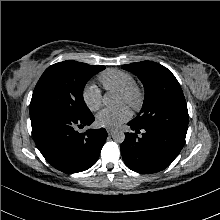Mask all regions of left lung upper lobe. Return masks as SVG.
<instances>
[{
	"mask_svg": "<svg viewBox=\"0 0 220 220\" xmlns=\"http://www.w3.org/2000/svg\"><path fill=\"white\" fill-rule=\"evenodd\" d=\"M143 83L145 98L141 111L131 121L139 127H162L186 137L188 110L181 86L166 67L152 61L122 66Z\"/></svg>",
	"mask_w": 220,
	"mask_h": 220,
	"instance_id": "1",
	"label": "left lung upper lobe"
}]
</instances>
